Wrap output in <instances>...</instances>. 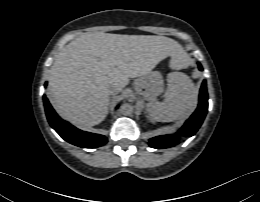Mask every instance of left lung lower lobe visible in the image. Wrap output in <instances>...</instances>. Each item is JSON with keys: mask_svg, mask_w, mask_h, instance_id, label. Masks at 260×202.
Returning <instances> with one entry per match:
<instances>
[{"mask_svg": "<svg viewBox=\"0 0 260 202\" xmlns=\"http://www.w3.org/2000/svg\"><path fill=\"white\" fill-rule=\"evenodd\" d=\"M199 69L202 71L200 64ZM208 110V94L206 89V81L204 80L201 86L200 95H199V105L196 111L191 115V117L185 122L183 127L180 129V133H183L187 137L193 136L197 130L200 128L203 120L206 116ZM179 138L178 135H164L157 136L149 139V145L152 148L164 149L173 147L178 144Z\"/></svg>", "mask_w": 260, "mask_h": 202, "instance_id": "left-lung-lower-lobe-1", "label": "left lung lower lobe"}]
</instances>
